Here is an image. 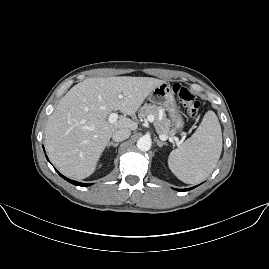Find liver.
Here are the masks:
<instances>
[{"label":"liver","mask_w":269,"mask_h":269,"mask_svg":"<svg viewBox=\"0 0 269 269\" xmlns=\"http://www.w3.org/2000/svg\"><path fill=\"white\" fill-rule=\"evenodd\" d=\"M165 81L152 77L88 78L74 85L57 104L45 127L51 161L67 177L91 176L118 129L136 131L135 117L150 93ZM119 94H125L122 99ZM125 116L110 123L114 111Z\"/></svg>","instance_id":"1"}]
</instances>
